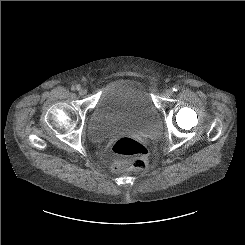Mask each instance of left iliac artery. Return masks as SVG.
I'll use <instances>...</instances> for the list:
<instances>
[{
	"label": "left iliac artery",
	"mask_w": 245,
	"mask_h": 245,
	"mask_svg": "<svg viewBox=\"0 0 245 245\" xmlns=\"http://www.w3.org/2000/svg\"><path fill=\"white\" fill-rule=\"evenodd\" d=\"M172 90H173L174 92H177V91L179 90V86H177V85L173 86Z\"/></svg>",
	"instance_id": "1"
}]
</instances>
